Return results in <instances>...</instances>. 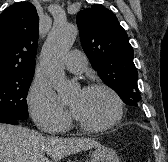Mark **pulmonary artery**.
Segmentation results:
<instances>
[{
	"label": "pulmonary artery",
	"mask_w": 168,
	"mask_h": 162,
	"mask_svg": "<svg viewBox=\"0 0 168 162\" xmlns=\"http://www.w3.org/2000/svg\"><path fill=\"white\" fill-rule=\"evenodd\" d=\"M88 60L84 53L79 50L70 51L64 59V65L72 73L79 74L87 68Z\"/></svg>",
	"instance_id": "e3ab8cb5"
}]
</instances>
